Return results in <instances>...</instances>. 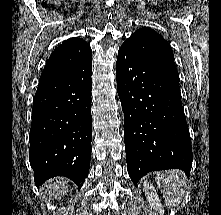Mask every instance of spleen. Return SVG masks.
Returning <instances> with one entry per match:
<instances>
[{
  "instance_id": "3e777b00",
  "label": "spleen",
  "mask_w": 221,
  "mask_h": 215,
  "mask_svg": "<svg viewBox=\"0 0 221 215\" xmlns=\"http://www.w3.org/2000/svg\"><path fill=\"white\" fill-rule=\"evenodd\" d=\"M156 183L163 193L167 206H177L185 196L188 187L184 172L180 170H165L157 173Z\"/></svg>"
}]
</instances>
